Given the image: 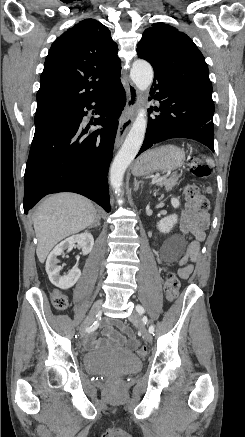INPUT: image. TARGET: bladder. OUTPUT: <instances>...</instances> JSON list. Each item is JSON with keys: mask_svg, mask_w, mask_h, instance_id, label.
<instances>
[{"mask_svg": "<svg viewBox=\"0 0 245 437\" xmlns=\"http://www.w3.org/2000/svg\"><path fill=\"white\" fill-rule=\"evenodd\" d=\"M83 365L93 375H125L139 371L142 362L124 349H97L83 355Z\"/></svg>", "mask_w": 245, "mask_h": 437, "instance_id": "bladder-1", "label": "bladder"}]
</instances>
